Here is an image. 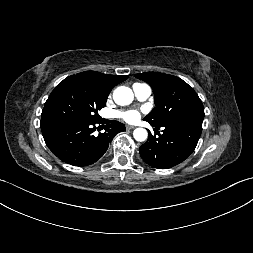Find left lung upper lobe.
<instances>
[{
	"instance_id": "left-lung-upper-lobe-1",
	"label": "left lung upper lobe",
	"mask_w": 253,
	"mask_h": 253,
	"mask_svg": "<svg viewBox=\"0 0 253 253\" xmlns=\"http://www.w3.org/2000/svg\"><path fill=\"white\" fill-rule=\"evenodd\" d=\"M154 91L156 107L144 118L162 126L193 119H204V107L197 93L182 79L157 72L135 74Z\"/></svg>"
}]
</instances>
